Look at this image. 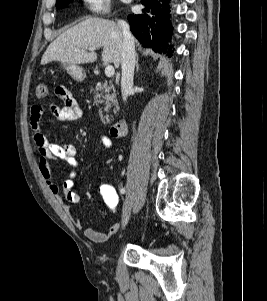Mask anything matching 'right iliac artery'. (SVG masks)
<instances>
[{
	"instance_id": "obj_1",
	"label": "right iliac artery",
	"mask_w": 267,
	"mask_h": 301,
	"mask_svg": "<svg viewBox=\"0 0 267 301\" xmlns=\"http://www.w3.org/2000/svg\"><path fill=\"white\" fill-rule=\"evenodd\" d=\"M126 191H125V188H121L120 189V194H124Z\"/></svg>"
}]
</instances>
